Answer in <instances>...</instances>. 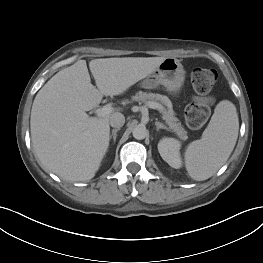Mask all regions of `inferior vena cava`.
Returning a JSON list of instances; mask_svg holds the SVG:
<instances>
[{
	"mask_svg": "<svg viewBox=\"0 0 263 263\" xmlns=\"http://www.w3.org/2000/svg\"><path fill=\"white\" fill-rule=\"evenodd\" d=\"M109 123L114 128H120L125 123V117L122 113H113L109 118Z\"/></svg>",
	"mask_w": 263,
	"mask_h": 263,
	"instance_id": "inferior-vena-cava-1",
	"label": "inferior vena cava"
}]
</instances>
